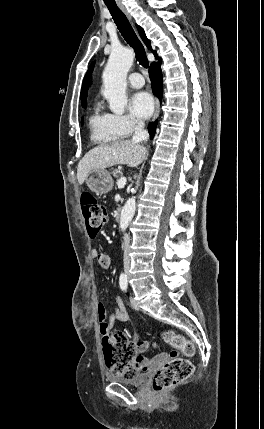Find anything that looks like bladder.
I'll list each match as a JSON object with an SVG mask.
<instances>
[{"instance_id": "1", "label": "bladder", "mask_w": 264, "mask_h": 429, "mask_svg": "<svg viewBox=\"0 0 264 429\" xmlns=\"http://www.w3.org/2000/svg\"><path fill=\"white\" fill-rule=\"evenodd\" d=\"M149 374L146 372L137 373L131 377H124L119 375L109 374L107 377L110 381L131 387H137L142 385L148 378Z\"/></svg>"}]
</instances>
